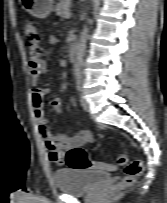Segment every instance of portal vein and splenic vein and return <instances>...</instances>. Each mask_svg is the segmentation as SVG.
Here are the masks:
<instances>
[{
	"label": "portal vein and splenic vein",
	"mask_w": 167,
	"mask_h": 203,
	"mask_svg": "<svg viewBox=\"0 0 167 203\" xmlns=\"http://www.w3.org/2000/svg\"><path fill=\"white\" fill-rule=\"evenodd\" d=\"M71 16V14L69 13V12H67L66 14H65V18H69Z\"/></svg>",
	"instance_id": "portal-vein-and-splenic-vein-1"
}]
</instances>
